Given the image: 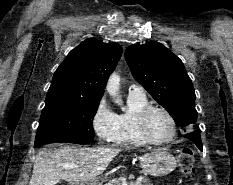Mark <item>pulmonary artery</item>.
I'll return each mask as SVG.
<instances>
[{
  "instance_id": "obj_1",
  "label": "pulmonary artery",
  "mask_w": 233,
  "mask_h": 185,
  "mask_svg": "<svg viewBox=\"0 0 233 185\" xmlns=\"http://www.w3.org/2000/svg\"><path fill=\"white\" fill-rule=\"evenodd\" d=\"M129 94L145 95V91L141 86L132 84L129 86Z\"/></svg>"
}]
</instances>
